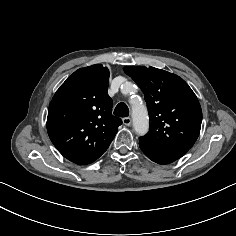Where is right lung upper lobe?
Listing matches in <instances>:
<instances>
[{"mask_svg": "<svg viewBox=\"0 0 236 236\" xmlns=\"http://www.w3.org/2000/svg\"><path fill=\"white\" fill-rule=\"evenodd\" d=\"M109 70L101 64L78 69L50 102L48 135L67 159L95 161L108 148L122 120L112 115Z\"/></svg>", "mask_w": 236, "mask_h": 236, "instance_id": "right-lung-upper-lobe-1", "label": "right lung upper lobe"}]
</instances>
